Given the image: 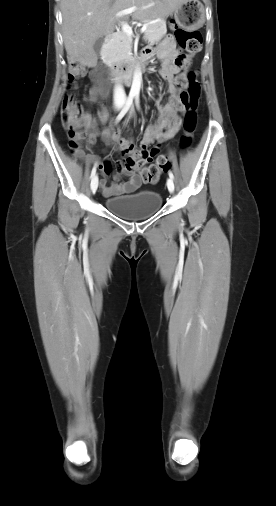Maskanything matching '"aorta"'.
<instances>
[{
  "mask_svg": "<svg viewBox=\"0 0 276 506\" xmlns=\"http://www.w3.org/2000/svg\"><path fill=\"white\" fill-rule=\"evenodd\" d=\"M141 82H142V74L140 68H136L134 75H133V81L132 86L130 90V95H138L141 88Z\"/></svg>",
  "mask_w": 276,
  "mask_h": 506,
  "instance_id": "1",
  "label": "aorta"
}]
</instances>
